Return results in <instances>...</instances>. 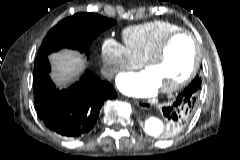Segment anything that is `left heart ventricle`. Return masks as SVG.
Wrapping results in <instances>:
<instances>
[{"label": "left heart ventricle", "instance_id": "b2bd125f", "mask_svg": "<svg viewBox=\"0 0 240 160\" xmlns=\"http://www.w3.org/2000/svg\"><path fill=\"white\" fill-rule=\"evenodd\" d=\"M194 47L186 36L174 38L167 46L163 57L149 65L146 72L158 88L172 85L184 78L194 62Z\"/></svg>", "mask_w": 240, "mask_h": 160}]
</instances>
